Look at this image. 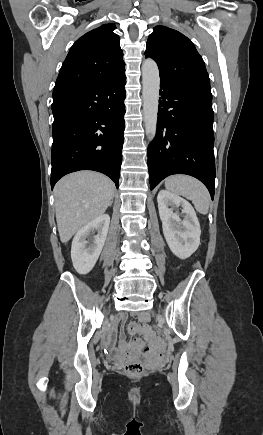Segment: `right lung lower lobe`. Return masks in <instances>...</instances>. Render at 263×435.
<instances>
[{"label": "right lung lower lobe", "mask_w": 263, "mask_h": 435, "mask_svg": "<svg viewBox=\"0 0 263 435\" xmlns=\"http://www.w3.org/2000/svg\"><path fill=\"white\" fill-rule=\"evenodd\" d=\"M125 71L102 82L53 95L51 187L64 175L94 170L118 188L124 142Z\"/></svg>", "instance_id": "right-lung-lower-lobe-1"}]
</instances>
